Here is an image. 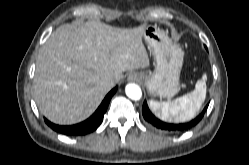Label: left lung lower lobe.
Wrapping results in <instances>:
<instances>
[{
    "mask_svg": "<svg viewBox=\"0 0 249 165\" xmlns=\"http://www.w3.org/2000/svg\"><path fill=\"white\" fill-rule=\"evenodd\" d=\"M207 107L208 105L204 108L202 113L198 115L192 121L187 122V123H181V124H171V123H166V122L159 120L150 112L146 101L144 102L143 107H142V114H143L144 119L156 129L163 131V132H168V133H179V132L187 131L190 128L194 127L196 124H198L200 120L203 118Z\"/></svg>",
    "mask_w": 249,
    "mask_h": 165,
    "instance_id": "1",
    "label": "left lung lower lobe"
}]
</instances>
